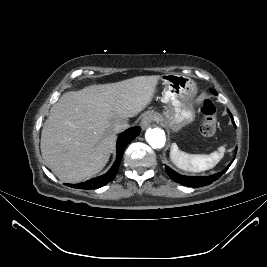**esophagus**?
Returning a JSON list of instances; mask_svg holds the SVG:
<instances>
[{
    "mask_svg": "<svg viewBox=\"0 0 267 267\" xmlns=\"http://www.w3.org/2000/svg\"><path fill=\"white\" fill-rule=\"evenodd\" d=\"M153 120H154V116L151 113L145 114L140 124L142 129H146L147 127H149Z\"/></svg>",
    "mask_w": 267,
    "mask_h": 267,
    "instance_id": "obj_1",
    "label": "esophagus"
}]
</instances>
